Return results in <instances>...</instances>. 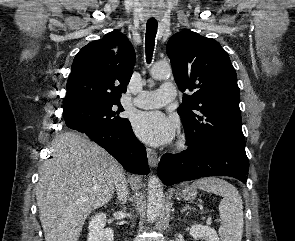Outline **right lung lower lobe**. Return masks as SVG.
<instances>
[{
	"label": "right lung lower lobe",
	"mask_w": 295,
	"mask_h": 241,
	"mask_svg": "<svg viewBox=\"0 0 295 241\" xmlns=\"http://www.w3.org/2000/svg\"><path fill=\"white\" fill-rule=\"evenodd\" d=\"M72 129L85 133L109 152L129 172L148 174L146 149L134 135L131 125L115 129L100 124H83Z\"/></svg>",
	"instance_id": "obj_1"
}]
</instances>
